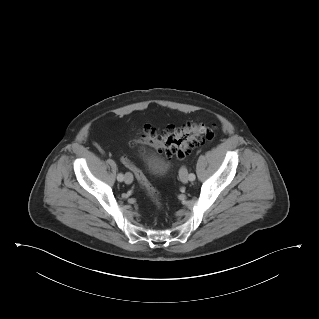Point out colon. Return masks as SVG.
Returning <instances> with one entry per match:
<instances>
[{
    "mask_svg": "<svg viewBox=\"0 0 319 319\" xmlns=\"http://www.w3.org/2000/svg\"><path fill=\"white\" fill-rule=\"evenodd\" d=\"M214 131L211 126L202 122L187 121L180 126H169L157 130L151 126L144 127L141 133L142 141L155 147L160 153L168 157L184 158L194 147L211 140ZM122 163L135 175L138 183L153 201L160 207L162 205L158 192L151 186L145 174L128 158L123 157Z\"/></svg>",
    "mask_w": 319,
    "mask_h": 319,
    "instance_id": "1",
    "label": "colon"
}]
</instances>
